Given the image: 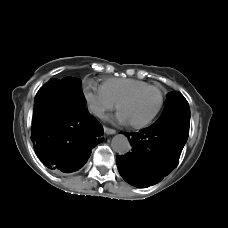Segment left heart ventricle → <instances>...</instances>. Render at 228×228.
I'll use <instances>...</instances> for the list:
<instances>
[{"label":"left heart ventricle","mask_w":228,"mask_h":228,"mask_svg":"<svg viewBox=\"0 0 228 228\" xmlns=\"http://www.w3.org/2000/svg\"><path fill=\"white\" fill-rule=\"evenodd\" d=\"M159 94L156 91H147L127 101L121 108L129 122H141L147 119L156 109Z\"/></svg>","instance_id":"b2bd125f"}]
</instances>
